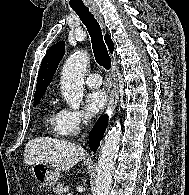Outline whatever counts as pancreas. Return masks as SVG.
Wrapping results in <instances>:
<instances>
[{
  "mask_svg": "<svg viewBox=\"0 0 189 195\" xmlns=\"http://www.w3.org/2000/svg\"><path fill=\"white\" fill-rule=\"evenodd\" d=\"M65 184L64 183H59L57 185V187L54 189V192L57 194V195H63V188H64Z\"/></svg>",
  "mask_w": 189,
  "mask_h": 195,
  "instance_id": "obj_1",
  "label": "pancreas"
}]
</instances>
